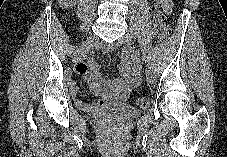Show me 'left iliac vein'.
I'll return each mask as SVG.
<instances>
[{"label":"left iliac vein","instance_id":"1","mask_svg":"<svg viewBox=\"0 0 227 157\" xmlns=\"http://www.w3.org/2000/svg\"><path fill=\"white\" fill-rule=\"evenodd\" d=\"M133 30L132 29H129L128 30V33H126L123 37H121L118 41L120 44H124V45H130L133 41V39L135 37H133ZM146 76H147V80L148 82L150 83H154L155 81V74H154V71L153 69L148 66L147 68V71H146Z\"/></svg>","mask_w":227,"mask_h":157}]
</instances>
